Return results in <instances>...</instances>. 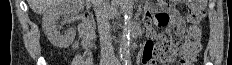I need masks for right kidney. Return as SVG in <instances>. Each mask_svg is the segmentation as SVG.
Here are the masks:
<instances>
[{
	"label": "right kidney",
	"instance_id": "right-kidney-1",
	"mask_svg": "<svg viewBox=\"0 0 232 65\" xmlns=\"http://www.w3.org/2000/svg\"><path fill=\"white\" fill-rule=\"evenodd\" d=\"M75 11L72 0H62L43 15L42 28L55 47L66 48L74 41L76 33L73 29H69L65 34H60L58 20L61 16L67 17Z\"/></svg>",
	"mask_w": 232,
	"mask_h": 65
}]
</instances>
